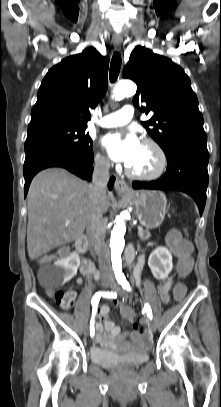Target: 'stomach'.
<instances>
[{
  "label": "stomach",
  "mask_w": 221,
  "mask_h": 407,
  "mask_svg": "<svg viewBox=\"0 0 221 407\" xmlns=\"http://www.w3.org/2000/svg\"><path fill=\"white\" fill-rule=\"evenodd\" d=\"M136 215L146 228H156L163 222L167 199L164 193L156 190L136 193L133 198Z\"/></svg>",
  "instance_id": "obj_1"
}]
</instances>
